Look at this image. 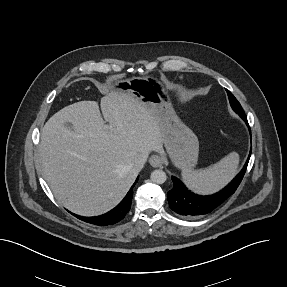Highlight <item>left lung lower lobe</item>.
<instances>
[{
    "label": "left lung lower lobe",
    "mask_w": 287,
    "mask_h": 287,
    "mask_svg": "<svg viewBox=\"0 0 287 287\" xmlns=\"http://www.w3.org/2000/svg\"><path fill=\"white\" fill-rule=\"evenodd\" d=\"M247 123L245 115H240ZM251 152L241 172L221 191L201 196L194 194L176 177L172 176V189L167 193L170 208L178 215L186 218H197L207 215L224 203L238 188L241 183L250 159Z\"/></svg>",
    "instance_id": "0a47b994"
}]
</instances>
